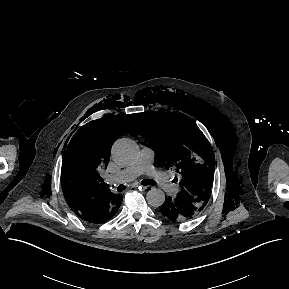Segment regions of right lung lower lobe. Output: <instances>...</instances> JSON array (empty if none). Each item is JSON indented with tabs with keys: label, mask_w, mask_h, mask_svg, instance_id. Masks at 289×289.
I'll list each match as a JSON object with an SVG mask.
<instances>
[{
	"label": "right lung lower lobe",
	"mask_w": 289,
	"mask_h": 289,
	"mask_svg": "<svg viewBox=\"0 0 289 289\" xmlns=\"http://www.w3.org/2000/svg\"><path fill=\"white\" fill-rule=\"evenodd\" d=\"M121 202L122 196L120 197L119 201L116 202L115 204L111 205L108 203V205L104 206V210L102 211V213L96 219L91 220L89 222L98 224L106 222L107 220L111 219L117 212L118 208L120 207Z\"/></svg>",
	"instance_id": "1"
}]
</instances>
